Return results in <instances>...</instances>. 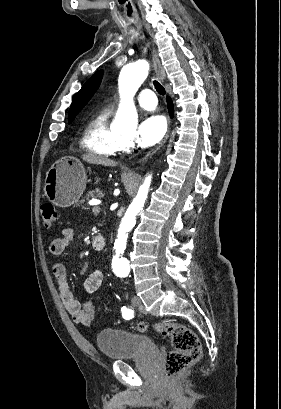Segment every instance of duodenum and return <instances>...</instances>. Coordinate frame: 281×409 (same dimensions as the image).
Wrapping results in <instances>:
<instances>
[{"label":"duodenum","mask_w":281,"mask_h":409,"mask_svg":"<svg viewBox=\"0 0 281 409\" xmlns=\"http://www.w3.org/2000/svg\"><path fill=\"white\" fill-rule=\"evenodd\" d=\"M103 245H104L103 237L101 235L95 236L94 239H93V249L95 251H100V250H102Z\"/></svg>","instance_id":"duodenum-1"}]
</instances>
